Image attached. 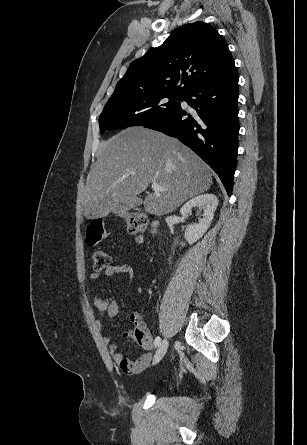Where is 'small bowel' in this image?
<instances>
[{
	"mask_svg": "<svg viewBox=\"0 0 307 445\" xmlns=\"http://www.w3.org/2000/svg\"><path fill=\"white\" fill-rule=\"evenodd\" d=\"M104 275L106 277H114L117 275L126 276L127 278H133L134 270L129 263H123L119 265H110L105 269ZM91 279L94 281H98L102 278V274L98 271H94L91 273ZM93 302L95 307L98 310V313L101 317L114 318L118 312L119 307L114 298H102L98 294L93 296ZM133 321V320H132ZM126 337L131 336L130 333L125 334ZM103 341L107 347L109 354L111 355L113 361L119 365V367L127 374H138L142 372L151 360V354L145 353L142 354L136 360H130L126 358L123 354L118 352L117 345L111 342V339L108 336L103 338ZM145 350L152 349V340L148 346H142Z\"/></svg>",
	"mask_w": 307,
	"mask_h": 445,
	"instance_id": "small-bowel-1",
	"label": "small bowel"
}]
</instances>
